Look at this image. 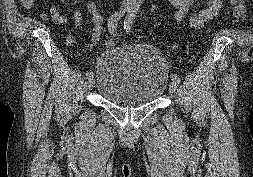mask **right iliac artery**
<instances>
[{"mask_svg":"<svg viewBox=\"0 0 253 177\" xmlns=\"http://www.w3.org/2000/svg\"><path fill=\"white\" fill-rule=\"evenodd\" d=\"M126 9H121L118 12H115L108 20V29L109 32L113 35H116L117 33V24L118 21L120 20V18L123 16L124 12ZM86 78H90L91 76H93L92 72H86L85 74Z\"/></svg>","mask_w":253,"mask_h":177,"instance_id":"82829eb1","label":"right iliac artery"}]
</instances>
